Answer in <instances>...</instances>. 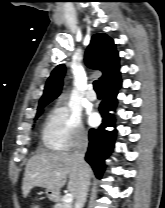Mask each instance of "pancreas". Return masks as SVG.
Instances as JSON below:
<instances>
[{"instance_id": "pancreas-1", "label": "pancreas", "mask_w": 165, "mask_h": 208, "mask_svg": "<svg viewBox=\"0 0 165 208\" xmlns=\"http://www.w3.org/2000/svg\"><path fill=\"white\" fill-rule=\"evenodd\" d=\"M54 208H72L71 204H67L63 202L61 199L57 200V203L55 204Z\"/></svg>"}]
</instances>
